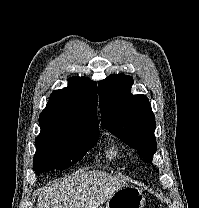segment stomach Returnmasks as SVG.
<instances>
[{
	"mask_svg": "<svg viewBox=\"0 0 199 208\" xmlns=\"http://www.w3.org/2000/svg\"><path fill=\"white\" fill-rule=\"evenodd\" d=\"M145 198L142 191L133 186H124L99 208H143Z\"/></svg>",
	"mask_w": 199,
	"mask_h": 208,
	"instance_id": "0dacf381",
	"label": "stomach"
}]
</instances>
